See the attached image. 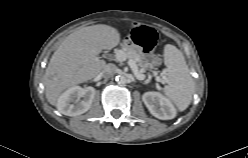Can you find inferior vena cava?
<instances>
[{"label": "inferior vena cava", "instance_id": "obj_1", "mask_svg": "<svg viewBox=\"0 0 248 158\" xmlns=\"http://www.w3.org/2000/svg\"><path fill=\"white\" fill-rule=\"evenodd\" d=\"M116 72V66L114 64H107L105 65L104 69L101 72V75L104 78H111Z\"/></svg>", "mask_w": 248, "mask_h": 158}]
</instances>
